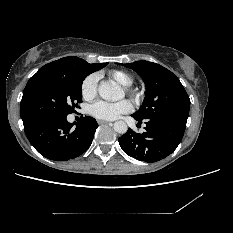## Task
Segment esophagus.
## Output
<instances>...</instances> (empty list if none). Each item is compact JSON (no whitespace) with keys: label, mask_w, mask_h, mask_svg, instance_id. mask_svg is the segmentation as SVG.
I'll list each match as a JSON object with an SVG mask.
<instances>
[{"label":"esophagus","mask_w":233,"mask_h":233,"mask_svg":"<svg viewBox=\"0 0 233 233\" xmlns=\"http://www.w3.org/2000/svg\"><path fill=\"white\" fill-rule=\"evenodd\" d=\"M97 123L98 124H111L110 121H105V120H98Z\"/></svg>","instance_id":"esophagus-1"}]
</instances>
